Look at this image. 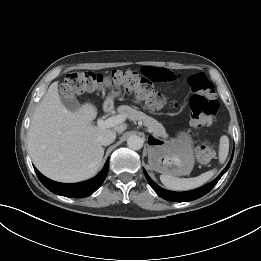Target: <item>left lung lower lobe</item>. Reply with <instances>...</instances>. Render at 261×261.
Here are the masks:
<instances>
[{
    "instance_id": "1",
    "label": "left lung lower lobe",
    "mask_w": 261,
    "mask_h": 261,
    "mask_svg": "<svg viewBox=\"0 0 261 261\" xmlns=\"http://www.w3.org/2000/svg\"><path fill=\"white\" fill-rule=\"evenodd\" d=\"M232 158H233V154H232V157H231L228 165L225 167V169L219 174V176L215 180H213L212 182H210L196 190L189 191V192H173V191L165 190V189L161 188L160 186H158L156 183H154L150 179V177L148 176V174L145 170H144V174H145V177H146L148 183L150 184V186L154 189V191L160 197L164 198L165 200H169V201L186 202V201L198 199V198L204 196L205 194H207L215 186V184L219 181V179L223 176V174L228 170V168L231 164Z\"/></svg>"
}]
</instances>
